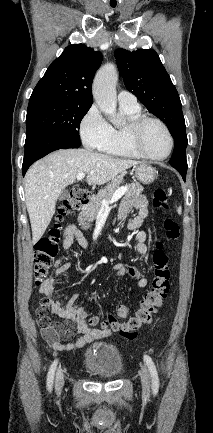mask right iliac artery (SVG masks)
<instances>
[{"mask_svg":"<svg viewBox=\"0 0 213 433\" xmlns=\"http://www.w3.org/2000/svg\"><path fill=\"white\" fill-rule=\"evenodd\" d=\"M58 361L55 360L52 365L50 366V369L48 371V376H47V388L49 391L52 390V386H53V380H54V375H55V369L57 366Z\"/></svg>","mask_w":213,"mask_h":433,"instance_id":"82829eb1","label":"right iliac artery"}]
</instances>
